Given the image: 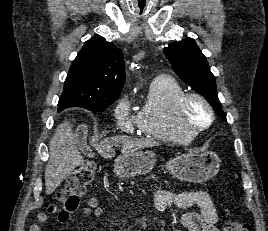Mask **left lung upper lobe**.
Returning <instances> with one entry per match:
<instances>
[{"instance_id":"5c2ea615","label":"left lung upper lobe","mask_w":268,"mask_h":231,"mask_svg":"<svg viewBox=\"0 0 268 231\" xmlns=\"http://www.w3.org/2000/svg\"><path fill=\"white\" fill-rule=\"evenodd\" d=\"M164 54L180 79L204 96L216 114L226 120L218 99L215 77L196 42L192 38L172 42L164 48Z\"/></svg>"}]
</instances>
